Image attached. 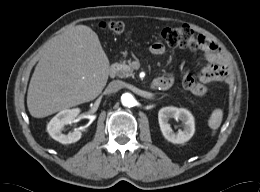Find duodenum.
<instances>
[{
	"instance_id": "duodenum-1",
	"label": "duodenum",
	"mask_w": 260,
	"mask_h": 192,
	"mask_svg": "<svg viewBox=\"0 0 260 192\" xmlns=\"http://www.w3.org/2000/svg\"><path fill=\"white\" fill-rule=\"evenodd\" d=\"M115 69L114 68H111L109 70V74L111 77H114L115 76ZM151 88L154 89V90H160V89H163L164 88V83L161 79H155L153 80L152 84H151Z\"/></svg>"
}]
</instances>
